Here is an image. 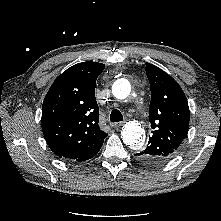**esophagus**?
Listing matches in <instances>:
<instances>
[{
    "label": "esophagus",
    "instance_id": "obj_1",
    "mask_svg": "<svg viewBox=\"0 0 221 221\" xmlns=\"http://www.w3.org/2000/svg\"><path fill=\"white\" fill-rule=\"evenodd\" d=\"M122 125H123V122H116V123L113 124V126H114L115 128H119V127H121Z\"/></svg>",
    "mask_w": 221,
    "mask_h": 221
}]
</instances>
